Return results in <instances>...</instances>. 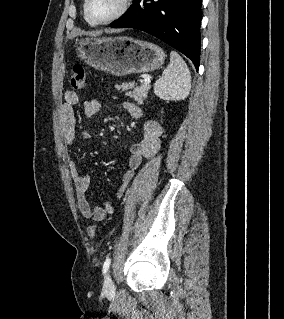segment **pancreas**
Wrapping results in <instances>:
<instances>
[{
	"label": "pancreas",
	"instance_id": "obj_1",
	"mask_svg": "<svg viewBox=\"0 0 284 319\" xmlns=\"http://www.w3.org/2000/svg\"><path fill=\"white\" fill-rule=\"evenodd\" d=\"M118 90L122 89L126 91L128 88L132 89L131 92H128L127 95L131 98H134L138 104H142L144 99L147 97V93L150 90V85L145 82H141L139 86L135 82L122 83L121 86L117 85Z\"/></svg>",
	"mask_w": 284,
	"mask_h": 319
}]
</instances>
